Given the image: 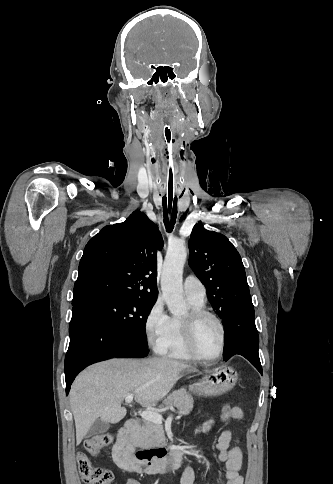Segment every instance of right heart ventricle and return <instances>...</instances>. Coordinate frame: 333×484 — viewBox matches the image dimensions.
<instances>
[{"mask_svg":"<svg viewBox=\"0 0 333 484\" xmlns=\"http://www.w3.org/2000/svg\"><path fill=\"white\" fill-rule=\"evenodd\" d=\"M189 305L191 309H202L204 308V303L196 302L189 299ZM160 354L177 360L184 361H195L197 360L188 350L182 329V318L180 317H170L168 332L166 340Z\"/></svg>","mask_w":333,"mask_h":484,"instance_id":"e07e8e85","label":"right heart ventricle"}]
</instances>
